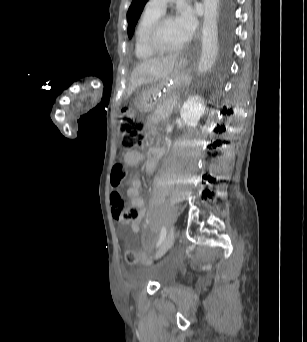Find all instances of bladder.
I'll return each instance as SVG.
<instances>
[{
	"instance_id": "1",
	"label": "bladder",
	"mask_w": 307,
	"mask_h": 342,
	"mask_svg": "<svg viewBox=\"0 0 307 342\" xmlns=\"http://www.w3.org/2000/svg\"><path fill=\"white\" fill-rule=\"evenodd\" d=\"M162 282L165 283V282H167V280H163Z\"/></svg>"
}]
</instances>
